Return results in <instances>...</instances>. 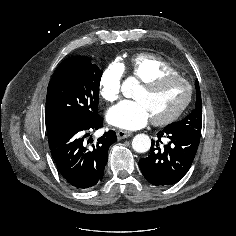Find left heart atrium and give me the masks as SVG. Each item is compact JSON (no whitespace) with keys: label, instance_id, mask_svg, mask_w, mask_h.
Returning a JSON list of instances; mask_svg holds the SVG:
<instances>
[{"label":"left heart atrium","instance_id":"left-heart-atrium-1","mask_svg":"<svg viewBox=\"0 0 236 236\" xmlns=\"http://www.w3.org/2000/svg\"><path fill=\"white\" fill-rule=\"evenodd\" d=\"M150 114L140 100H126L112 107L107 114L108 122L116 127L136 130L147 124Z\"/></svg>","mask_w":236,"mask_h":236}]
</instances>
